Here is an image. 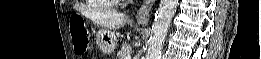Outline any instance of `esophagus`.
<instances>
[{"mask_svg": "<svg viewBox=\"0 0 261 59\" xmlns=\"http://www.w3.org/2000/svg\"><path fill=\"white\" fill-rule=\"evenodd\" d=\"M154 3L155 0L143 1L142 5L139 7L136 13V20L139 24L147 25L150 17L149 13Z\"/></svg>", "mask_w": 261, "mask_h": 59, "instance_id": "34e87169", "label": "esophagus"}]
</instances>
